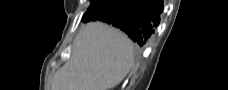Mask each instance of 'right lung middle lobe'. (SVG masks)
Instances as JSON below:
<instances>
[{
    "instance_id": "1",
    "label": "right lung middle lobe",
    "mask_w": 228,
    "mask_h": 90,
    "mask_svg": "<svg viewBox=\"0 0 228 90\" xmlns=\"http://www.w3.org/2000/svg\"><path fill=\"white\" fill-rule=\"evenodd\" d=\"M101 0H91V3H94V4H99Z\"/></svg>"
}]
</instances>
